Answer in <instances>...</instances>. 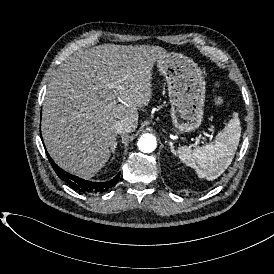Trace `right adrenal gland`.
I'll use <instances>...</instances> for the list:
<instances>
[{
    "instance_id": "obj_1",
    "label": "right adrenal gland",
    "mask_w": 274,
    "mask_h": 274,
    "mask_svg": "<svg viewBox=\"0 0 274 274\" xmlns=\"http://www.w3.org/2000/svg\"><path fill=\"white\" fill-rule=\"evenodd\" d=\"M112 153H113V154L115 153V148L113 149Z\"/></svg>"
}]
</instances>
